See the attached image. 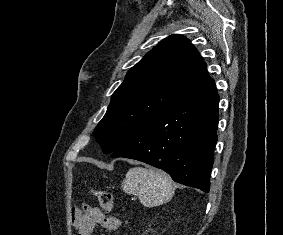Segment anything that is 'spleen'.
<instances>
[{
  "instance_id": "obj_1",
  "label": "spleen",
  "mask_w": 283,
  "mask_h": 235,
  "mask_svg": "<svg viewBox=\"0 0 283 235\" xmlns=\"http://www.w3.org/2000/svg\"><path fill=\"white\" fill-rule=\"evenodd\" d=\"M122 189L127 194L138 196L143 206L156 207L171 200L175 183L163 171L133 167L127 172Z\"/></svg>"
}]
</instances>
